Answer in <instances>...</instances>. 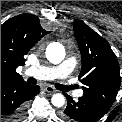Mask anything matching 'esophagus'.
<instances>
[{
	"instance_id": "esophagus-1",
	"label": "esophagus",
	"mask_w": 122,
	"mask_h": 122,
	"mask_svg": "<svg viewBox=\"0 0 122 122\" xmlns=\"http://www.w3.org/2000/svg\"><path fill=\"white\" fill-rule=\"evenodd\" d=\"M44 90L46 92H48L49 94H53V93L57 92V90L55 88H53L52 86H50V85L44 86Z\"/></svg>"
}]
</instances>
